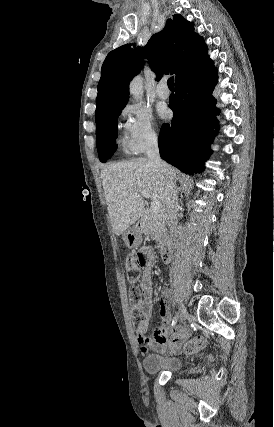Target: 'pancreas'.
<instances>
[{
    "label": "pancreas",
    "mask_w": 274,
    "mask_h": 427,
    "mask_svg": "<svg viewBox=\"0 0 274 427\" xmlns=\"http://www.w3.org/2000/svg\"><path fill=\"white\" fill-rule=\"evenodd\" d=\"M141 231L156 241H163L167 237L165 212H160V214L146 212L141 219Z\"/></svg>",
    "instance_id": "obj_1"
}]
</instances>
